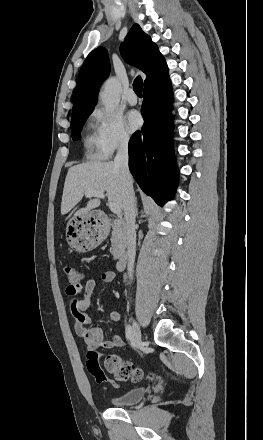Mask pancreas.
<instances>
[{"label": "pancreas", "mask_w": 263, "mask_h": 440, "mask_svg": "<svg viewBox=\"0 0 263 440\" xmlns=\"http://www.w3.org/2000/svg\"><path fill=\"white\" fill-rule=\"evenodd\" d=\"M125 227L123 221L115 220L112 225V237H111V253L114 260L120 258L123 247L125 246Z\"/></svg>", "instance_id": "obj_1"}]
</instances>
